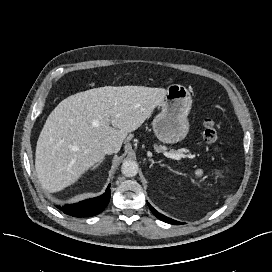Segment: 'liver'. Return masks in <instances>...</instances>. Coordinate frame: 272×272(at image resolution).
<instances>
[{
    "label": "liver",
    "mask_w": 272,
    "mask_h": 272,
    "mask_svg": "<svg viewBox=\"0 0 272 272\" xmlns=\"http://www.w3.org/2000/svg\"><path fill=\"white\" fill-rule=\"evenodd\" d=\"M166 92L144 86H105L62 100L37 141L35 169L41 185L56 192L73 184L104 158V143L116 144L119 151L128 133L144 123Z\"/></svg>",
    "instance_id": "6515ba94"
}]
</instances>
